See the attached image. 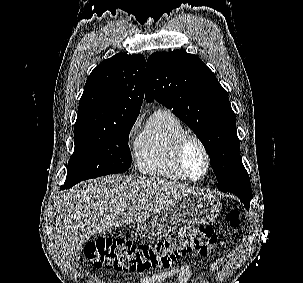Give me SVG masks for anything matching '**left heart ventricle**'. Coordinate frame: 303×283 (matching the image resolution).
I'll return each mask as SVG.
<instances>
[{
  "mask_svg": "<svg viewBox=\"0 0 303 283\" xmlns=\"http://www.w3.org/2000/svg\"><path fill=\"white\" fill-rule=\"evenodd\" d=\"M186 163L193 177H200L205 171V159L197 144L191 143L186 151Z\"/></svg>",
  "mask_w": 303,
  "mask_h": 283,
  "instance_id": "b2bd125f",
  "label": "left heart ventricle"
}]
</instances>
